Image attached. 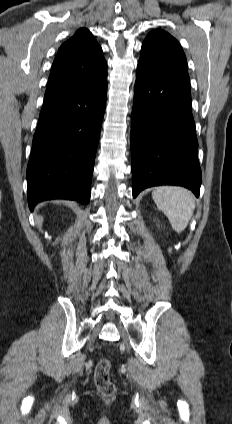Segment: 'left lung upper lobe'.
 <instances>
[{
    "instance_id": "5c2ea615",
    "label": "left lung upper lobe",
    "mask_w": 232,
    "mask_h": 424,
    "mask_svg": "<svg viewBox=\"0 0 232 424\" xmlns=\"http://www.w3.org/2000/svg\"><path fill=\"white\" fill-rule=\"evenodd\" d=\"M138 67L149 71L187 70L186 56L179 42L164 30L151 31L145 38Z\"/></svg>"
}]
</instances>
